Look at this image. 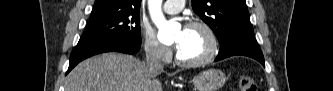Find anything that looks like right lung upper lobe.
<instances>
[{"label":"right lung upper lobe","mask_w":333,"mask_h":91,"mask_svg":"<svg viewBox=\"0 0 333 91\" xmlns=\"http://www.w3.org/2000/svg\"><path fill=\"white\" fill-rule=\"evenodd\" d=\"M141 0H96L91 18L102 17L126 11H139Z\"/></svg>","instance_id":"1"}]
</instances>
